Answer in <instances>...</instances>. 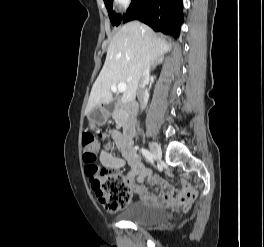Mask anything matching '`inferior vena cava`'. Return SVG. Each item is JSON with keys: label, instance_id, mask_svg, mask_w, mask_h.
<instances>
[{"label": "inferior vena cava", "instance_id": "inferior-vena-cava-1", "mask_svg": "<svg viewBox=\"0 0 264 247\" xmlns=\"http://www.w3.org/2000/svg\"><path fill=\"white\" fill-rule=\"evenodd\" d=\"M149 80V67L145 66L141 78L138 83V88H137V98L138 101L140 102L141 108H145L149 99V92L148 89L145 88L146 83Z\"/></svg>", "mask_w": 264, "mask_h": 247}]
</instances>
